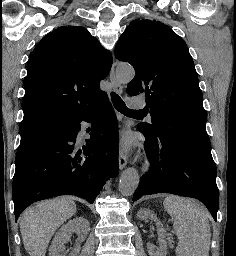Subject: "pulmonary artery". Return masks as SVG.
<instances>
[{
    "label": "pulmonary artery",
    "instance_id": "1",
    "mask_svg": "<svg viewBox=\"0 0 236 256\" xmlns=\"http://www.w3.org/2000/svg\"><path fill=\"white\" fill-rule=\"evenodd\" d=\"M131 109H142V106H144V101H140L141 97L140 96H131Z\"/></svg>",
    "mask_w": 236,
    "mask_h": 256
}]
</instances>
